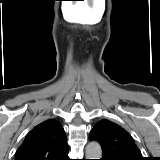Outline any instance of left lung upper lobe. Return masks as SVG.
I'll return each instance as SVG.
<instances>
[{"label": "left lung upper lobe", "instance_id": "obj_1", "mask_svg": "<svg viewBox=\"0 0 160 160\" xmlns=\"http://www.w3.org/2000/svg\"><path fill=\"white\" fill-rule=\"evenodd\" d=\"M89 139L101 144L103 160H144L132 136L112 121H99Z\"/></svg>", "mask_w": 160, "mask_h": 160}]
</instances>
